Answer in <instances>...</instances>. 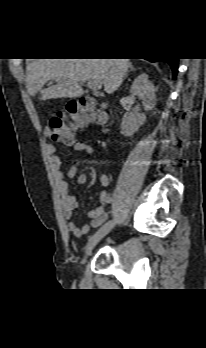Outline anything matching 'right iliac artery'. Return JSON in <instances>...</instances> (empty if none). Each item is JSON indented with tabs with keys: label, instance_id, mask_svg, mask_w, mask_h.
I'll use <instances>...</instances> for the list:
<instances>
[{
	"label": "right iliac artery",
	"instance_id": "82829eb1",
	"mask_svg": "<svg viewBox=\"0 0 206 348\" xmlns=\"http://www.w3.org/2000/svg\"><path fill=\"white\" fill-rule=\"evenodd\" d=\"M112 197L110 195L103 196V201H105L106 205H109L111 203Z\"/></svg>",
	"mask_w": 206,
	"mask_h": 348
}]
</instances>
